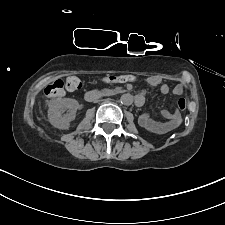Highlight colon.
I'll list each match as a JSON object with an SVG mask.
<instances>
[{
	"label": "colon",
	"mask_w": 225,
	"mask_h": 225,
	"mask_svg": "<svg viewBox=\"0 0 225 225\" xmlns=\"http://www.w3.org/2000/svg\"><path fill=\"white\" fill-rule=\"evenodd\" d=\"M137 78L133 75H108L101 78L104 83H125L136 81ZM81 81L77 77H69L64 82L63 80H56L45 88V94L49 97H57L64 93V90L73 92L81 88ZM177 108L181 111L187 108V101L185 98H180L177 102Z\"/></svg>",
	"instance_id": "5ec220e1"
}]
</instances>
